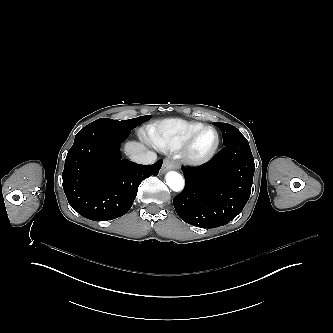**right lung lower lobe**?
I'll use <instances>...</instances> for the list:
<instances>
[{"label":"right lung lower lobe","instance_id":"1","mask_svg":"<svg viewBox=\"0 0 333 333\" xmlns=\"http://www.w3.org/2000/svg\"><path fill=\"white\" fill-rule=\"evenodd\" d=\"M130 133L89 124L75 136L62 174L71 207L93 221L111 220L131 208L140 183L158 175L162 160L140 165L122 159L120 144Z\"/></svg>","mask_w":333,"mask_h":333}]
</instances>
